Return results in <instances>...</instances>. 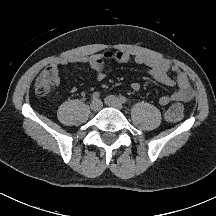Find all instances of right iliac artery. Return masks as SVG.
<instances>
[{
  "mask_svg": "<svg viewBox=\"0 0 216 216\" xmlns=\"http://www.w3.org/2000/svg\"><path fill=\"white\" fill-rule=\"evenodd\" d=\"M100 96V93L99 92H94L93 95H92V99L93 100H97Z\"/></svg>",
  "mask_w": 216,
  "mask_h": 216,
  "instance_id": "82829eb1",
  "label": "right iliac artery"
}]
</instances>
